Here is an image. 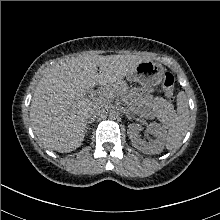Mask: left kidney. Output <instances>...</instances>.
Wrapping results in <instances>:
<instances>
[{"label": "left kidney", "mask_w": 220, "mask_h": 220, "mask_svg": "<svg viewBox=\"0 0 220 220\" xmlns=\"http://www.w3.org/2000/svg\"><path fill=\"white\" fill-rule=\"evenodd\" d=\"M142 127L133 123L128 126L127 134L132 142V145L138 150L146 154H159L164 148V140L166 137V130L160 124L153 122L149 124V131L153 134L155 139L152 142L146 143L140 138L139 132Z\"/></svg>", "instance_id": "5707ae66"}]
</instances>
